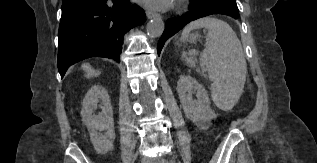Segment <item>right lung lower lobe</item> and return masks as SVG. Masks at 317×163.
Wrapping results in <instances>:
<instances>
[{
    "label": "right lung lower lobe",
    "instance_id": "right-lung-lower-lobe-1",
    "mask_svg": "<svg viewBox=\"0 0 317 163\" xmlns=\"http://www.w3.org/2000/svg\"><path fill=\"white\" fill-rule=\"evenodd\" d=\"M144 21L143 9L128 5V1L63 2L58 33L61 78L69 66L89 57H106L120 62L124 34Z\"/></svg>",
    "mask_w": 317,
    "mask_h": 163
}]
</instances>
